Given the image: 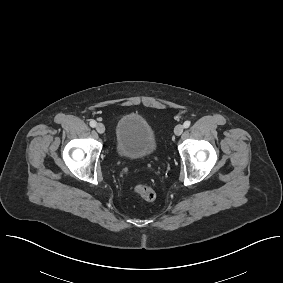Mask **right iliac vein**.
Here are the masks:
<instances>
[{"mask_svg":"<svg viewBox=\"0 0 283 283\" xmlns=\"http://www.w3.org/2000/svg\"><path fill=\"white\" fill-rule=\"evenodd\" d=\"M96 130L99 134H103L105 132V126L102 123H98L96 125Z\"/></svg>","mask_w":283,"mask_h":283,"instance_id":"63e3f726","label":"right iliac vein"}]
</instances>
